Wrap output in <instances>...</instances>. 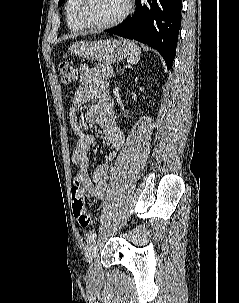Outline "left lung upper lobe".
Returning a JSON list of instances; mask_svg holds the SVG:
<instances>
[{"instance_id": "obj_1", "label": "left lung upper lobe", "mask_w": 239, "mask_h": 303, "mask_svg": "<svg viewBox=\"0 0 239 303\" xmlns=\"http://www.w3.org/2000/svg\"><path fill=\"white\" fill-rule=\"evenodd\" d=\"M63 2H64V0H59V3H58V4L60 5V4L63 3Z\"/></svg>"}]
</instances>
